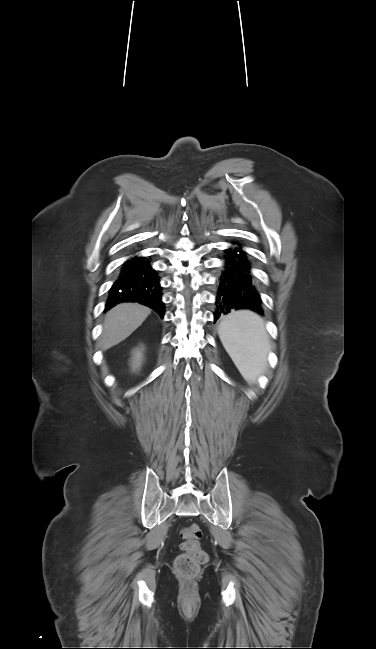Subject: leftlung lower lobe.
Masks as SVG:
<instances>
[{"label": "left lung lower lobe", "instance_id": "left-lung-lower-lobe-1", "mask_svg": "<svg viewBox=\"0 0 376 649\" xmlns=\"http://www.w3.org/2000/svg\"><path fill=\"white\" fill-rule=\"evenodd\" d=\"M225 252V266L218 279L215 321L221 313L227 314L234 308H247L263 314L262 301L254 287L246 253L239 248H229Z\"/></svg>", "mask_w": 376, "mask_h": 649}]
</instances>
